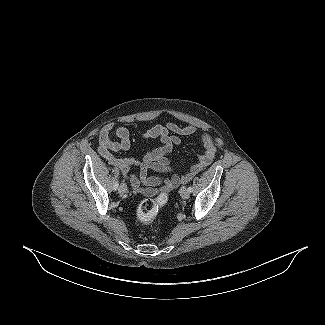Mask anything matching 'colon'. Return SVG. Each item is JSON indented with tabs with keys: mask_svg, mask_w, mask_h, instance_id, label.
<instances>
[{
	"mask_svg": "<svg viewBox=\"0 0 325 325\" xmlns=\"http://www.w3.org/2000/svg\"><path fill=\"white\" fill-rule=\"evenodd\" d=\"M169 190L170 186L167 185L156 197H150L143 200L137 209V219L142 223H147L153 220L161 208L167 204L169 199ZM145 194L150 196L153 194V190L147 189L145 190Z\"/></svg>",
	"mask_w": 325,
	"mask_h": 325,
	"instance_id": "obj_1",
	"label": "colon"
}]
</instances>
